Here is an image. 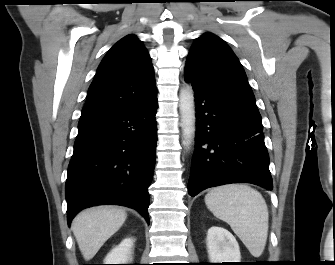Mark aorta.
Segmentation results:
<instances>
[{"label": "aorta", "mask_w": 335, "mask_h": 265, "mask_svg": "<svg viewBox=\"0 0 335 265\" xmlns=\"http://www.w3.org/2000/svg\"><path fill=\"white\" fill-rule=\"evenodd\" d=\"M179 111L181 116V127L183 133V144L188 147L191 145L195 135V104L194 95L190 87H185L179 94Z\"/></svg>", "instance_id": "762f6f07"}]
</instances>
